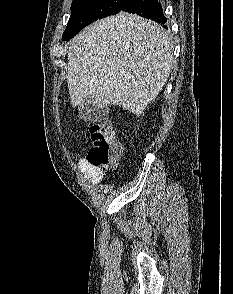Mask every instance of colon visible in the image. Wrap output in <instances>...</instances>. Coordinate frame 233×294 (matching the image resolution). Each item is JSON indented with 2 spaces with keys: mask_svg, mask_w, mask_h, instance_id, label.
Masks as SVG:
<instances>
[{
  "mask_svg": "<svg viewBox=\"0 0 233 294\" xmlns=\"http://www.w3.org/2000/svg\"><path fill=\"white\" fill-rule=\"evenodd\" d=\"M89 133L92 140L86 160L101 172L114 166L121 155L122 146L117 141L115 128L110 122H91Z\"/></svg>",
  "mask_w": 233,
  "mask_h": 294,
  "instance_id": "colon-1",
  "label": "colon"
}]
</instances>
